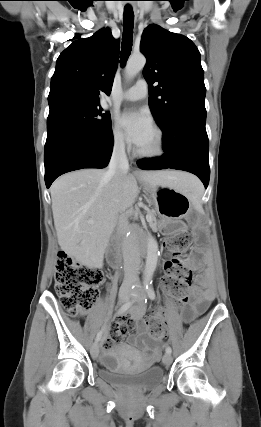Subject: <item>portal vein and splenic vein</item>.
<instances>
[{"instance_id": "1", "label": "portal vein and splenic vein", "mask_w": 261, "mask_h": 427, "mask_svg": "<svg viewBox=\"0 0 261 427\" xmlns=\"http://www.w3.org/2000/svg\"><path fill=\"white\" fill-rule=\"evenodd\" d=\"M148 218H149V217L147 216V219H148ZM89 223H90V224H93L94 222H93V221H89Z\"/></svg>"}]
</instances>
